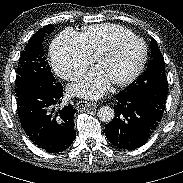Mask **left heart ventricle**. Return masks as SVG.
Returning <instances> with one entry per match:
<instances>
[{
	"mask_svg": "<svg viewBox=\"0 0 183 183\" xmlns=\"http://www.w3.org/2000/svg\"><path fill=\"white\" fill-rule=\"evenodd\" d=\"M143 53L139 41L130 40L123 43L114 54L101 60L97 67L102 70L110 83L130 75L138 65Z\"/></svg>",
	"mask_w": 183,
	"mask_h": 183,
	"instance_id": "1",
	"label": "left heart ventricle"
}]
</instances>
